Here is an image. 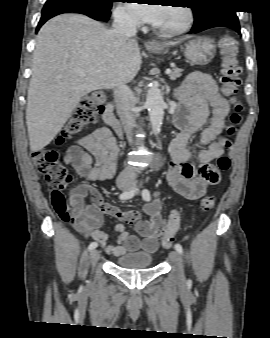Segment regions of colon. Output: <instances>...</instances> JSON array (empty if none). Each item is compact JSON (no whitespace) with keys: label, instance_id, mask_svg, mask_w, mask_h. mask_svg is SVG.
<instances>
[{"label":"colon","instance_id":"1","mask_svg":"<svg viewBox=\"0 0 270 338\" xmlns=\"http://www.w3.org/2000/svg\"><path fill=\"white\" fill-rule=\"evenodd\" d=\"M220 54L222 58L220 80L223 91L231 95L237 91L241 81L239 74L241 68L237 59L238 42L231 35H224L218 41ZM105 96L101 93H93L90 96L80 100L78 106L74 109L71 118L64 125L60 135L59 142L71 138L81 132L83 129L93 124L96 118L104 110ZM241 106L236 104L233 113L230 115V124L227 128V135L232 136L236 126L240 122ZM230 145L227 140L226 148ZM35 167L44 175L48 187L52 191V207L54 211L68 218L64 209L60 205L63 191L72 181V175L59 163V153L54 149H40L32 154ZM230 168V159L227 156H221L217 159L214 170L227 171ZM215 196L206 195L201 199V210L210 212L215 205ZM180 216L173 213L163 230L162 245L164 248H170L174 241L175 233L180 226Z\"/></svg>","mask_w":270,"mask_h":338}]
</instances>
